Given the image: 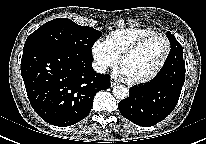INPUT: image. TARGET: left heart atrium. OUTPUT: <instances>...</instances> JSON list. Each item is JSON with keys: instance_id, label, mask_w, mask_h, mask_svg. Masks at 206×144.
Here are the masks:
<instances>
[{"instance_id": "39dd6f15", "label": "left heart atrium", "mask_w": 206, "mask_h": 144, "mask_svg": "<svg viewBox=\"0 0 206 144\" xmlns=\"http://www.w3.org/2000/svg\"><path fill=\"white\" fill-rule=\"evenodd\" d=\"M121 73H122L123 76L127 77L125 72L122 69H121Z\"/></svg>"}]
</instances>
